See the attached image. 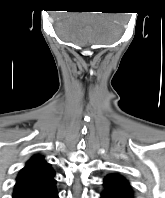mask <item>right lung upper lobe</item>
<instances>
[{"mask_svg": "<svg viewBox=\"0 0 165 198\" xmlns=\"http://www.w3.org/2000/svg\"><path fill=\"white\" fill-rule=\"evenodd\" d=\"M54 171L42 156L32 157L20 171L13 198H35L55 187Z\"/></svg>", "mask_w": 165, "mask_h": 198, "instance_id": "cb5924a9", "label": "right lung upper lobe"}]
</instances>
